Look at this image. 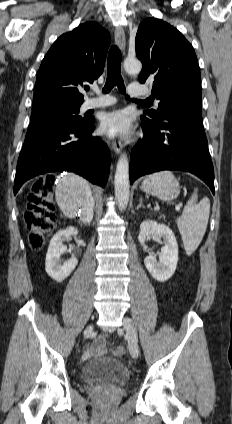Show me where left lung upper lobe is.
<instances>
[{
  "label": "left lung upper lobe",
  "mask_w": 232,
  "mask_h": 424,
  "mask_svg": "<svg viewBox=\"0 0 232 424\" xmlns=\"http://www.w3.org/2000/svg\"><path fill=\"white\" fill-rule=\"evenodd\" d=\"M136 55L143 64L139 81L153 79L157 110L145 111L159 120L163 111L178 105L201 107V77L192 45L173 26L156 19L143 20L136 34Z\"/></svg>",
  "instance_id": "1"
}]
</instances>
